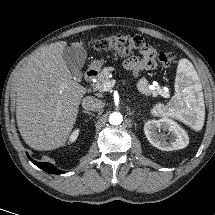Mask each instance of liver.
I'll list each match as a JSON object with an SVG mask.
<instances>
[{
  "label": "liver",
  "instance_id": "1",
  "mask_svg": "<svg viewBox=\"0 0 215 215\" xmlns=\"http://www.w3.org/2000/svg\"><path fill=\"white\" fill-rule=\"evenodd\" d=\"M73 46H82L76 42ZM67 42L35 51L16 76V120L24 141L35 150L65 145L86 88L73 81L62 58Z\"/></svg>",
  "mask_w": 215,
  "mask_h": 215
}]
</instances>
